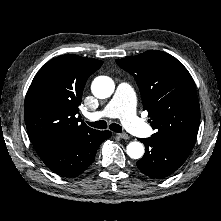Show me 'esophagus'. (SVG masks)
<instances>
[{"label": "esophagus", "instance_id": "esophagus-1", "mask_svg": "<svg viewBox=\"0 0 221 221\" xmlns=\"http://www.w3.org/2000/svg\"><path fill=\"white\" fill-rule=\"evenodd\" d=\"M117 135H118V137H120L122 139H125V140L130 138V136L128 134H126V133H119Z\"/></svg>", "mask_w": 221, "mask_h": 221}]
</instances>
